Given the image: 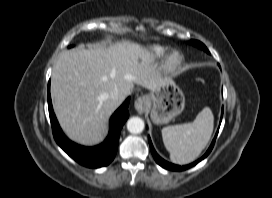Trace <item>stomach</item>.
Returning <instances> with one entry per match:
<instances>
[{"label": "stomach", "mask_w": 272, "mask_h": 198, "mask_svg": "<svg viewBox=\"0 0 272 198\" xmlns=\"http://www.w3.org/2000/svg\"><path fill=\"white\" fill-rule=\"evenodd\" d=\"M146 99L151 119L158 125L169 123L185 108V96L172 79H165Z\"/></svg>", "instance_id": "1"}]
</instances>
